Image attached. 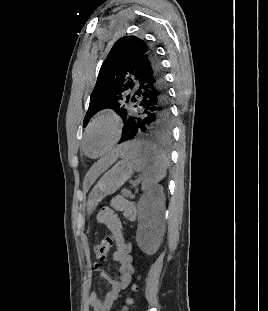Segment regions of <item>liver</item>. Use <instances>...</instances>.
<instances>
[{
    "label": "liver",
    "instance_id": "liver-1",
    "mask_svg": "<svg viewBox=\"0 0 268 311\" xmlns=\"http://www.w3.org/2000/svg\"><path fill=\"white\" fill-rule=\"evenodd\" d=\"M124 146H120L106 157L100 159L87 173L86 179L94 181L101 173L107 170L117 158L123 154Z\"/></svg>",
    "mask_w": 268,
    "mask_h": 311
}]
</instances>
